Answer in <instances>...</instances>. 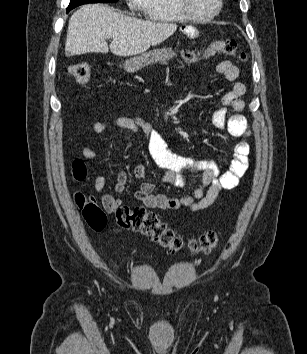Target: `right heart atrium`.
Masks as SVG:
<instances>
[{
  "label": "right heart atrium",
  "instance_id": "d8ad5b80",
  "mask_svg": "<svg viewBox=\"0 0 307 354\" xmlns=\"http://www.w3.org/2000/svg\"><path fill=\"white\" fill-rule=\"evenodd\" d=\"M132 9H142L146 0H126Z\"/></svg>",
  "mask_w": 307,
  "mask_h": 354
}]
</instances>
